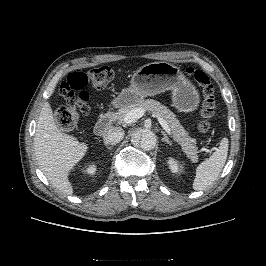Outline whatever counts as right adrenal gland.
Masks as SVG:
<instances>
[{
	"label": "right adrenal gland",
	"instance_id": "1",
	"mask_svg": "<svg viewBox=\"0 0 266 266\" xmlns=\"http://www.w3.org/2000/svg\"><path fill=\"white\" fill-rule=\"evenodd\" d=\"M104 145H105V147H106L107 149H109V150L112 149V146H110L109 144H107V143H105V142H104Z\"/></svg>",
	"mask_w": 266,
	"mask_h": 266
}]
</instances>
